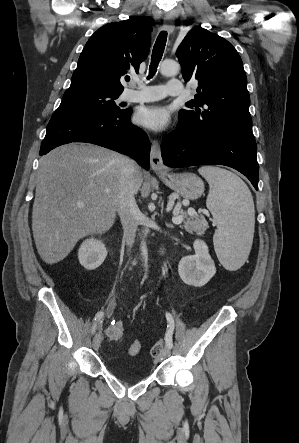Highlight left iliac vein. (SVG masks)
I'll list each match as a JSON object with an SVG mask.
<instances>
[{
	"instance_id": "left-iliac-vein-1",
	"label": "left iliac vein",
	"mask_w": 299,
	"mask_h": 443,
	"mask_svg": "<svg viewBox=\"0 0 299 443\" xmlns=\"http://www.w3.org/2000/svg\"><path fill=\"white\" fill-rule=\"evenodd\" d=\"M163 355L164 357H169L171 355V348L169 346L166 345L163 351Z\"/></svg>"
}]
</instances>
